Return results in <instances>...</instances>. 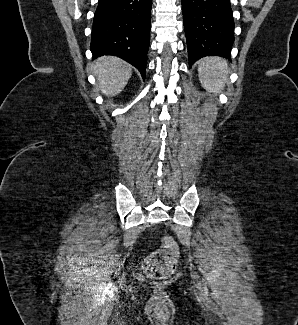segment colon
<instances>
[{
  "mask_svg": "<svg viewBox=\"0 0 298 325\" xmlns=\"http://www.w3.org/2000/svg\"><path fill=\"white\" fill-rule=\"evenodd\" d=\"M178 249L174 241L165 239L162 247L153 252L144 262V272L152 279L170 277L177 265Z\"/></svg>",
  "mask_w": 298,
  "mask_h": 325,
  "instance_id": "1",
  "label": "colon"
}]
</instances>
